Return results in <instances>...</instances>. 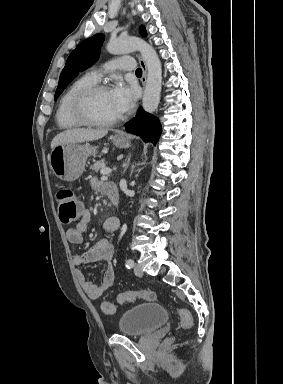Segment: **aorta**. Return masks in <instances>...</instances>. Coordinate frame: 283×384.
Returning <instances> with one entry per match:
<instances>
[{
	"label": "aorta",
	"instance_id": "aorta-1",
	"mask_svg": "<svg viewBox=\"0 0 283 384\" xmlns=\"http://www.w3.org/2000/svg\"><path fill=\"white\" fill-rule=\"evenodd\" d=\"M111 54H126L138 50L147 66V81L142 106L153 113L160 102L162 89V65L154 48L137 37H121L110 41L106 47Z\"/></svg>",
	"mask_w": 283,
	"mask_h": 384
}]
</instances>
